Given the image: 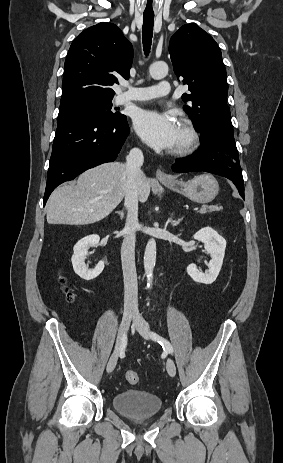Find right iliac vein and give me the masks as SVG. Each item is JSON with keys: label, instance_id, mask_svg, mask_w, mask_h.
Wrapping results in <instances>:
<instances>
[{"label": "right iliac vein", "instance_id": "1", "mask_svg": "<svg viewBox=\"0 0 283 463\" xmlns=\"http://www.w3.org/2000/svg\"><path fill=\"white\" fill-rule=\"evenodd\" d=\"M134 315L135 314L132 311H125L124 314H123L120 329H119L118 342H117L116 348H115L114 352L112 353V355H111V357H110V359L108 361V364H107V372L108 373H111L116 367L119 352H120L121 339H122L123 335H126L128 329L130 327L131 321L134 318Z\"/></svg>", "mask_w": 283, "mask_h": 463}]
</instances>
